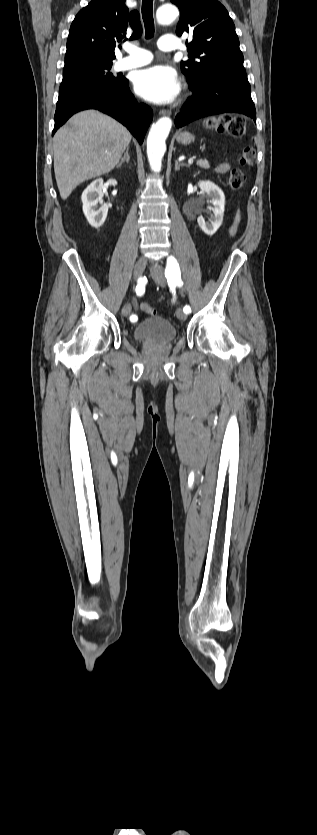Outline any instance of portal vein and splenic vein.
I'll list each match as a JSON object with an SVG mask.
<instances>
[{"label":"portal vein and splenic vein","instance_id":"obj_1","mask_svg":"<svg viewBox=\"0 0 317 835\" xmlns=\"http://www.w3.org/2000/svg\"><path fill=\"white\" fill-rule=\"evenodd\" d=\"M188 162H189V163L193 162V158H191Z\"/></svg>","mask_w":317,"mask_h":835}]
</instances>
